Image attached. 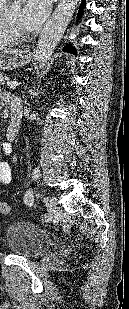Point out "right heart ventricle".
<instances>
[{
    "mask_svg": "<svg viewBox=\"0 0 129 309\" xmlns=\"http://www.w3.org/2000/svg\"><path fill=\"white\" fill-rule=\"evenodd\" d=\"M3 1L5 0H0V44L1 43H6L8 41L11 40L12 37L7 36L4 32H3V27H2V21H1V14H2V4Z\"/></svg>",
    "mask_w": 129,
    "mask_h": 309,
    "instance_id": "1",
    "label": "right heart ventricle"
}]
</instances>
